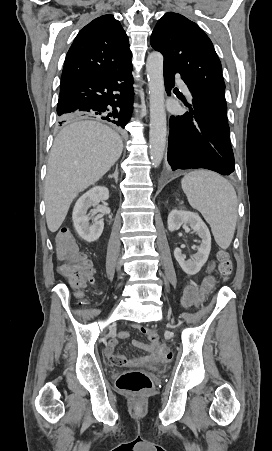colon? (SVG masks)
Masks as SVG:
<instances>
[{"instance_id":"5ec220e1","label":"colon","mask_w":272,"mask_h":451,"mask_svg":"<svg viewBox=\"0 0 272 451\" xmlns=\"http://www.w3.org/2000/svg\"><path fill=\"white\" fill-rule=\"evenodd\" d=\"M58 253L61 260H67V262H59L58 269L62 277H67L68 282L72 283L77 289L75 296L76 303H89L90 296L86 294V291L82 288L85 285L86 278L91 276L90 262H83L86 258V253L80 251L78 248V240H74L73 235H70L67 229H62L58 233L56 239ZM218 269L221 275L229 276L233 271V265L228 257V254L224 251L219 252L218 255ZM79 260V261H78ZM149 351H154L155 354H162V359H172V350H167L166 345H156L154 342L147 344ZM113 367H126L127 360L122 355H111L109 358ZM152 382L147 373L140 370H130L122 373L116 380V387L120 391L129 393H141L151 388Z\"/></svg>"}]
</instances>
